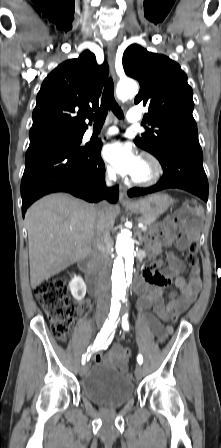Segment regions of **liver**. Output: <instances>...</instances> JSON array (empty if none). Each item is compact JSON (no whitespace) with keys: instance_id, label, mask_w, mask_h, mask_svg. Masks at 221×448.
I'll list each match as a JSON object with an SVG mask.
<instances>
[{"instance_id":"1","label":"liver","mask_w":221,"mask_h":448,"mask_svg":"<svg viewBox=\"0 0 221 448\" xmlns=\"http://www.w3.org/2000/svg\"><path fill=\"white\" fill-rule=\"evenodd\" d=\"M96 207L68 194L57 193L43 197L27 210L25 221L33 289L91 252L98 221ZM115 217V209L106 206L104 225L109 231Z\"/></svg>"}]
</instances>
